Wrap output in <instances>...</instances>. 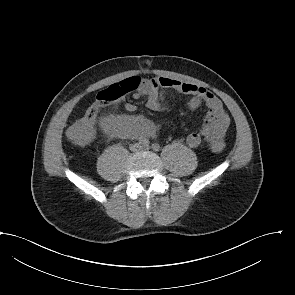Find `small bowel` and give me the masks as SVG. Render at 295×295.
I'll return each mask as SVG.
<instances>
[{
    "label": "small bowel",
    "mask_w": 295,
    "mask_h": 295,
    "mask_svg": "<svg viewBox=\"0 0 295 295\" xmlns=\"http://www.w3.org/2000/svg\"><path fill=\"white\" fill-rule=\"evenodd\" d=\"M139 88L133 97L139 99L147 97L146 106L153 111L163 110L164 92L174 90L190 96L187 107L196 109L202 104L207 108V114L201 127L191 132L186 139L190 147H197L203 141L211 142L216 139L223 140L230 125V116L226 112L222 101L211 91L204 87L183 82L167 77H155L140 79ZM125 109L128 112L136 111L133 103H126ZM103 127L113 136L119 138H138L149 136L154 133V127L148 119L143 116L117 115L107 116L103 119Z\"/></svg>",
    "instance_id": "c3829d8e"
}]
</instances>
